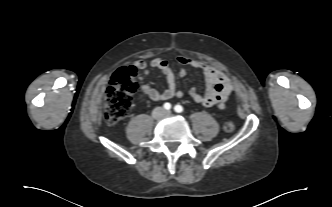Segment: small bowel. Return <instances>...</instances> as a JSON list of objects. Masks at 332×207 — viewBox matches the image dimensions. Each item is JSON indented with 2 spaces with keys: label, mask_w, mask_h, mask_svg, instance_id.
<instances>
[{
  "label": "small bowel",
  "mask_w": 332,
  "mask_h": 207,
  "mask_svg": "<svg viewBox=\"0 0 332 207\" xmlns=\"http://www.w3.org/2000/svg\"><path fill=\"white\" fill-rule=\"evenodd\" d=\"M177 61L180 65L179 76H185L188 67L199 70L204 76L206 85L204 93H199L195 88H191L189 91V95L196 103L205 107H224L233 92L232 82L224 73L206 63L185 56L178 57ZM132 65L143 74H149V67L145 61L135 60ZM150 66L161 71L166 79L167 87L164 90H158L146 84L142 85L141 91L149 99L161 101L183 96V92L176 88L174 70L166 60L153 58Z\"/></svg>",
  "instance_id": "obj_1"
}]
</instances>
